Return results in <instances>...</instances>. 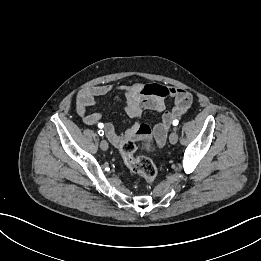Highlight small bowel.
<instances>
[{"label": "small bowel", "instance_id": "1", "mask_svg": "<svg viewBox=\"0 0 261 261\" xmlns=\"http://www.w3.org/2000/svg\"><path fill=\"white\" fill-rule=\"evenodd\" d=\"M113 92L119 93L116 100L123 105L126 114L134 120L132 127L121 133L115 130L112 123L102 122L100 113H88V108L96 103L98 97ZM168 98L174 101V106L170 110H166L165 105ZM192 101V94L180 87L141 82L123 86L101 84L85 88L78 93L76 112L88 126L102 123L107 138L115 146L132 137L153 140L156 144L163 145L172 120L182 116L191 106ZM145 110L163 112L161 120L153 129L141 123V116Z\"/></svg>", "mask_w": 261, "mask_h": 261}]
</instances>
